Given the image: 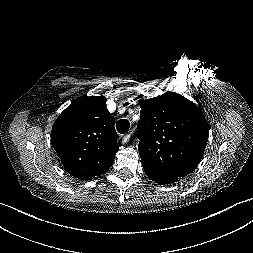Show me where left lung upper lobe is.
Wrapping results in <instances>:
<instances>
[{
  "instance_id": "1",
  "label": "left lung upper lobe",
  "mask_w": 253,
  "mask_h": 253,
  "mask_svg": "<svg viewBox=\"0 0 253 253\" xmlns=\"http://www.w3.org/2000/svg\"><path fill=\"white\" fill-rule=\"evenodd\" d=\"M139 103L142 165L159 173L187 176L201 161L208 140L202 109L174 92Z\"/></svg>"
}]
</instances>
